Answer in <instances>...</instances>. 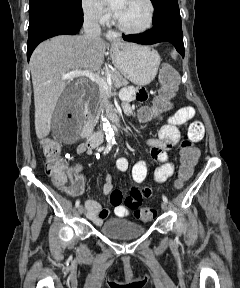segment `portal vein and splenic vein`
I'll return each mask as SVG.
<instances>
[{
  "label": "portal vein and splenic vein",
  "instance_id": "obj_1",
  "mask_svg": "<svg viewBox=\"0 0 240 288\" xmlns=\"http://www.w3.org/2000/svg\"><path fill=\"white\" fill-rule=\"evenodd\" d=\"M76 77H87L89 78L92 82H95L98 84L100 87H102L105 90H109L111 88V81L108 79L105 81L103 77L89 71H83V70H74L70 71L66 74H63L61 79L62 80H72Z\"/></svg>",
  "mask_w": 240,
  "mask_h": 288
}]
</instances>
